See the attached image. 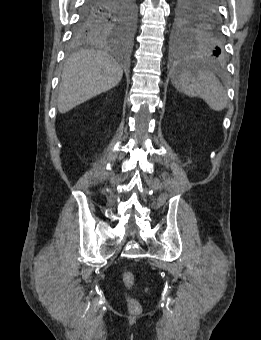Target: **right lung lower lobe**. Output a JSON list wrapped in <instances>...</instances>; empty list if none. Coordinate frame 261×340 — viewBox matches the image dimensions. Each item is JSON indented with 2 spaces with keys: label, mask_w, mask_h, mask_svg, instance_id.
<instances>
[{
  "label": "right lung lower lobe",
  "mask_w": 261,
  "mask_h": 340,
  "mask_svg": "<svg viewBox=\"0 0 261 340\" xmlns=\"http://www.w3.org/2000/svg\"><path fill=\"white\" fill-rule=\"evenodd\" d=\"M125 2L126 0H85L78 24L84 25L105 13L115 14L119 8H124Z\"/></svg>",
  "instance_id": "98d812e1"
}]
</instances>
